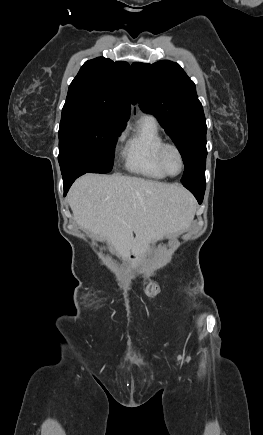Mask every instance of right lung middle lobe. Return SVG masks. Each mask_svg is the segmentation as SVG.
I'll return each mask as SVG.
<instances>
[{"mask_svg": "<svg viewBox=\"0 0 263 435\" xmlns=\"http://www.w3.org/2000/svg\"><path fill=\"white\" fill-rule=\"evenodd\" d=\"M123 129L124 126L92 111L62 110L58 133L62 176L74 172H110L117 137Z\"/></svg>", "mask_w": 263, "mask_h": 435, "instance_id": "right-lung-middle-lobe-1", "label": "right lung middle lobe"}]
</instances>
